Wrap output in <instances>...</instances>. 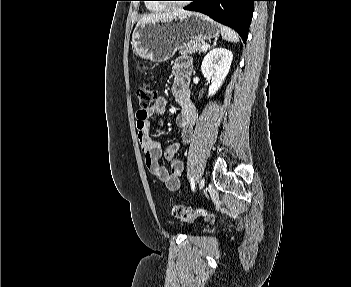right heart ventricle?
<instances>
[{"label":"right heart ventricle","instance_id":"right-heart-ventricle-1","mask_svg":"<svg viewBox=\"0 0 351 287\" xmlns=\"http://www.w3.org/2000/svg\"><path fill=\"white\" fill-rule=\"evenodd\" d=\"M147 8L152 12H159V11L163 10L161 5H157V4H153V3H148Z\"/></svg>","mask_w":351,"mask_h":287}]
</instances>
